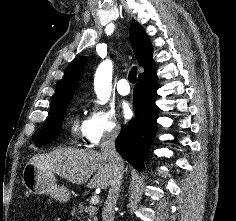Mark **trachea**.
I'll use <instances>...</instances> for the list:
<instances>
[{
  "label": "trachea",
  "mask_w": 236,
  "mask_h": 221,
  "mask_svg": "<svg viewBox=\"0 0 236 221\" xmlns=\"http://www.w3.org/2000/svg\"><path fill=\"white\" fill-rule=\"evenodd\" d=\"M136 77H137V67L133 66L128 75L129 82L133 84L136 83Z\"/></svg>",
  "instance_id": "1"
}]
</instances>
